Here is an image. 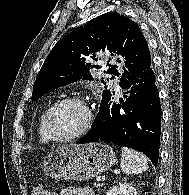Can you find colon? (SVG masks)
Listing matches in <instances>:
<instances>
[{
    "mask_svg": "<svg viewBox=\"0 0 189 195\" xmlns=\"http://www.w3.org/2000/svg\"><path fill=\"white\" fill-rule=\"evenodd\" d=\"M31 195H52V192L42 183L33 186Z\"/></svg>",
    "mask_w": 189,
    "mask_h": 195,
    "instance_id": "obj_1",
    "label": "colon"
}]
</instances>
